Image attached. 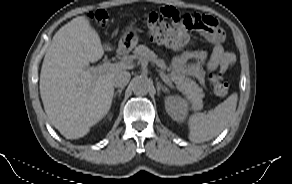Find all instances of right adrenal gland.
<instances>
[{"instance_id":"right-adrenal-gland-1","label":"right adrenal gland","mask_w":292,"mask_h":184,"mask_svg":"<svg viewBox=\"0 0 292 184\" xmlns=\"http://www.w3.org/2000/svg\"><path fill=\"white\" fill-rule=\"evenodd\" d=\"M122 91H123V88L118 89V90L114 93L113 97L115 98L116 95L118 94V97L120 98Z\"/></svg>"}]
</instances>
